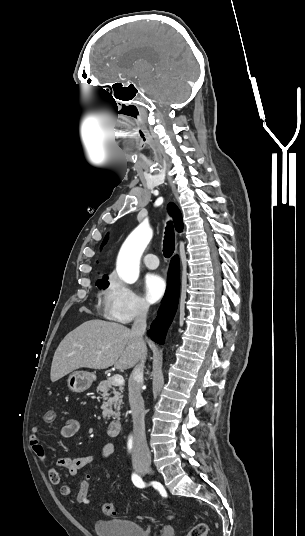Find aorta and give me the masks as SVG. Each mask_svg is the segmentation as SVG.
<instances>
[{"mask_svg": "<svg viewBox=\"0 0 305 536\" xmlns=\"http://www.w3.org/2000/svg\"><path fill=\"white\" fill-rule=\"evenodd\" d=\"M152 229L147 225H139L125 240L117 258V273L128 284H133L139 278L140 259L151 241Z\"/></svg>", "mask_w": 305, "mask_h": 536, "instance_id": "1", "label": "aorta"}]
</instances>
